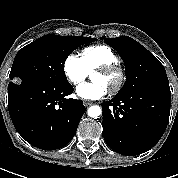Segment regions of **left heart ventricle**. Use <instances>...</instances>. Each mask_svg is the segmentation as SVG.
<instances>
[{
    "label": "left heart ventricle",
    "instance_id": "obj_1",
    "mask_svg": "<svg viewBox=\"0 0 178 178\" xmlns=\"http://www.w3.org/2000/svg\"><path fill=\"white\" fill-rule=\"evenodd\" d=\"M91 79L93 82L104 84L110 90L115 83L116 77L96 72L92 74Z\"/></svg>",
    "mask_w": 178,
    "mask_h": 178
}]
</instances>
